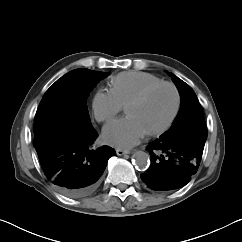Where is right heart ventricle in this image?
Returning <instances> with one entry per match:
<instances>
[{
  "instance_id": "obj_1",
  "label": "right heart ventricle",
  "mask_w": 242,
  "mask_h": 242,
  "mask_svg": "<svg viewBox=\"0 0 242 242\" xmlns=\"http://www.w3.org/2000/svg\"><path fill=\"white\" fill-rule=\"evenodd\" d=\"M161 81L157 76L140 71L122 72L111 80V89L123 105L151 84Z\"/></svg>"
}]
</instances>
